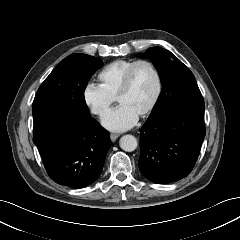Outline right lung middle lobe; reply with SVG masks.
<instances>
[{"label": "right lung middle lobe", "mask_w": 240, "mask_h": 240, "mask_svg": "<svg viewBox=\"0 0 240 240\" xmlns=\"http://www.w3.org/2000/svg\"><path fill=\"white\" fill-rule=\"evenodd\" d=\"M102 61L76 53L63 59L39 87L32 109L58 107L90 113L84 98L88 81Z\"/></svg>", "instance_id": "right-lung-middle-lobe-1"}]
</instances>
